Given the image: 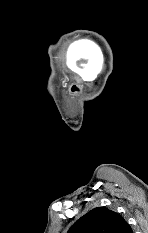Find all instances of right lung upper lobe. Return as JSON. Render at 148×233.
I'll return each mask as SVG.
<instances>
[{"label":"right lung upper lobe","mask_w":148,"mask_h":233,"mask_svg":"<svg viewBox=\"0 0 148 233\" xmlns=\"http://www.w3.org/2000/svg\"><path fill=\"white\" fill-rule=\"evenodd\" d=\"M67 233H133L130 225L116 212L97 207L78 219Z\"/></svg>","instance_id":"obj_1"}]
</instances>
